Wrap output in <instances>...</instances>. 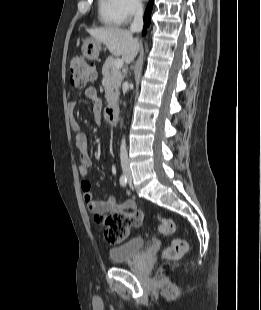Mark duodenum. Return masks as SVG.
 <instances>
[{
	"label": "duodenum",
	"instance_id": "obj_1",
	"mask_svg": "<svg viewBox=\"0 0 261 310\" xmlns=\"http://www.w3.org/2000/svg\"><path fill=\"white\" fill-rule=\"evenodd\" d=\"M119 108L116 104H112L106 110V118L109 124L114 125L118 118Z\"/></svg>",
	"mask_w": 261,
	"mask_h": 310
}]
</instances>
